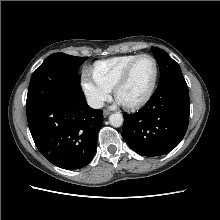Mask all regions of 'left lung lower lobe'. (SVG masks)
I'll return each mask as SVG.
<instances>
[{"label": "left lung lower lobe", "mask_w": 220, "mask_h": 220, "mask_svg": "<svg viewBox=\"0 0 220 220\" xmlns=\"http://www.w3.org/2000/svg\"><path fill=\"white\" fill-rule=\"evenodd\" d=\"M190 100L184 78L172 80L156 91L134 114H123L122 135L143 156H158L173 150L183 139L189 122Z\"/></svg>", "instance_id": "left-lung-lower-lobe-1"}]
</instances>
